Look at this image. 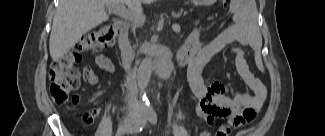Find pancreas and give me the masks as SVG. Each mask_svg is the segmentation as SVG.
Here are the masks:
<instances>
[{"instance_id": "pancreas-1", "label": "pancreas", "mask_w": 325, "mask_h": 136, "mask_svg": "<svg viewBox=\"0 0 325 136\" xmlns=\"http://www.w3.org/2000/svg\"><path fill=\"white\" fill-rule=\"evenodd\" d=\"M175 16H184L181 17V24H189L190 19H196L197 13L192 12L188 5H180L179 7H175V10L172 12ZM138 31V30H137ZM135 40H138L137 38Z\"/></svg>"}]
</instances>
